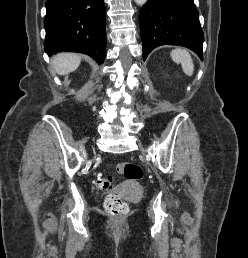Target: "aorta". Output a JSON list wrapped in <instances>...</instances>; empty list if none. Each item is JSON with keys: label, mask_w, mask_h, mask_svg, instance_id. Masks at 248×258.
Wrapping results in <instances>:
<instances>
[{"label": "aorta", "mask_w": 248, "mask_h": 258, "mask_svg": "<svg viewBox=\"0 0 248 258\" xmlns=\"http://www.w3.org/2000/svg\"><path fill=\"white\" fill-rule=\"evenodd\" d=\"M136 4L143 5L147 2V0H134Z\"/></svg>", "instance_id": "obj_1"}]
</instances>
